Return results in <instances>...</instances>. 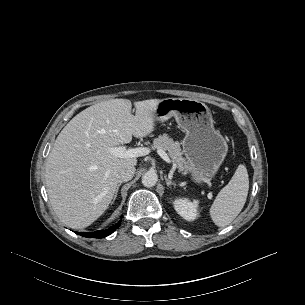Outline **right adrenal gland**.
<instances>
[{"mask_svg":"<svg viewBox=\"0 0 305 305\" xmlns=\"http://www.w3.org/2000/svg\"><path fill=\"white\" fill-rule=\"evenodd\" d=\"M122 183H118L116 185V190H115V194H114V197H113V200H112V204L114 203V201L116 200V197H117V194H118V191H119V187L121 186Z\"/></svg>","mask_w":305,"mask_h":305,"instance_id":"2a0ac1e0","label":"right adrenal gland"}]
</instances>
